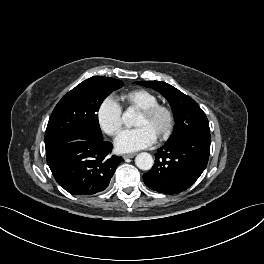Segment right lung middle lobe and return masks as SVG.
<instances>
[{
	"label": "right lung middle lobe",
	"mask_w": 264,
	"mask_h": 264,
	"mask_svg": "<svg viewBox=\"0 0 264 264\" xmlns=\"http://www.w3.org/2000/svg\"><path fill=\"white\" fill-rule=\"evenodd\" d=\"M123 82L93 76L68 92L54 108L45 133L46 151L75 139L102 141L97 112L102 101Z\"/></svg>",
	"instance_id": "right-lung-middle-lobe-1"
}]
</instances>
